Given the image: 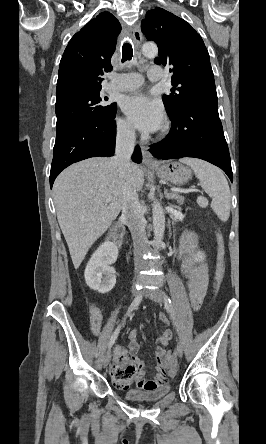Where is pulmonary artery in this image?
Listing matches in <instances>:
<instances>
[{"label":"pulmonary artery","instance_id":"pulmonary-artery-1","mask_svg":"<svg viewBox=\"0 0 266 444\" xmlns=\"http://www.w3.org/2000/svg\"><path fill=\"white\" fill-rule=\"evenodd\" d=\"M151 81L160 80L163 77V69L160 66H150L147 71ZM143 83L139 73L114 74L109 82V87L116 91H131L138 89Z\"/></svg>","mask_w":266,"mask_h":444}]
</instances>
